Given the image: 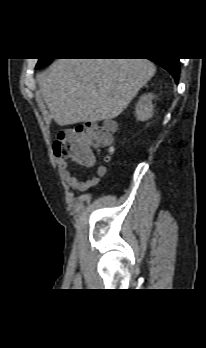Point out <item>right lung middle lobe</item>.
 Wrapping results in <instances>:
<instances>
[{
    "label": "right lung middle lobe",
    "instance_id": "dd1d6c3e",
    "mask_svg": "<svg viewBox=\"0 0 206 348\" xmlns=\"http://www.w3.org/2000/svg\"><path fill=\"white\" fill-rule=\"evenodd\" d=\"M53 59H39L38 64L36 65V69L43 68L51 63Z\"/></svg>",
    "mask_w": 206,
    "mask_h": 348
}]
</instances>
